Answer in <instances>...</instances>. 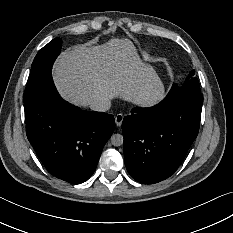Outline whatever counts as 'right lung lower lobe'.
Here are the masks:
<instances>
[{"mask_svg":"<svg viewBox=\"0 0 233 233\" xmlns=\"http://www.w3.org/2000/svg\"><path fill=\"white\" fill-rule=\"evenodd\" d=\"M26 134L46 169L72 184L95 171L114 130V116L84 111L64 101L53 80L25 99Z\"/></svg>","mask_w":233,"mask_h":233,"instance_id":"1","label":"right lung lower lobe"}]
</instances>
